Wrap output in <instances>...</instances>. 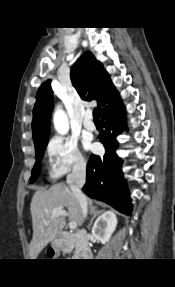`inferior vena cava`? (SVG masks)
Instances as JSON below:
<instances>
[{"mask_svg": "<svg viewBox=\"0 0 175 287\" xmlns=\"http://www.w3.org/2000/svg\"><path fill=\"white\" fill-rule=\"evenodd\" d=\"M86 180V164L84 161L75 163L72 172L67 176V183L70 186L75 198L77 199L82 214L84 217L87 215V198L82 193L81 188L85 184Z\"/></svg>", "mask_w": 175, "mask_h": 287, "instance_id": "inferior-vena-cava-1", "label": "inferior vena cava"}]
</instances>
